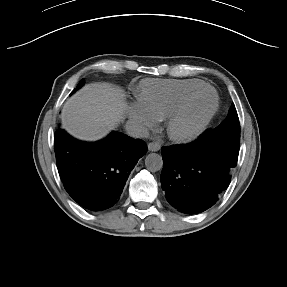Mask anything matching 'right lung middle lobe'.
<instances>
[{
  "instance_id": "dd1d6c3e",
  "label": "right lung middle lobe",
  "mask_w": 287,
  "mask_h": 287,
  "mask_svg": "<svg viewBox=\"0 0 287 287\" xmlns=\"http://www.w3.org/2000/svg\"><path fill=\"white\" fill-rule=\"evenodd\" d=\"M83 84H84V79H82V80L79 82V84L77 85V89L81 88V87L83 86ZM77 89H74V91H72L71 94H73Z\"/></svg>"
}]
</instances>
